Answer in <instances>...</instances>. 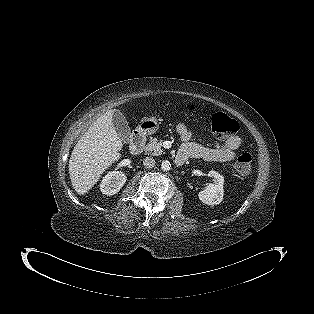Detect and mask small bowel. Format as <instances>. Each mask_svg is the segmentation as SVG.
I'll return each instance as SVG.
<instances>
[{"label": "small bowel", "instance_id": "1", "mask_svg": "<svg viewBox=\"0 0 314 314\" xmlns=\"http://www.w3.org/2000/svg\"><path fill=\"white\" fill-rule=\"evenodd\" d=\"M176 132L183 141L178 155L185 160L201 159L204 161L230 162L236 155L242 139L239 135H233L225 140L214 143L212 146H205L192 141V133L184 123L176 126Z\"/></svg>", "mask_w": 314, "mask_h": 314}]
</instances>
